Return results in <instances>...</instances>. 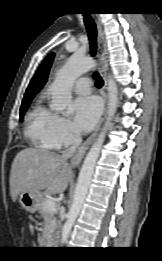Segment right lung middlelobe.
Listing matches in <instances>:
<instances>
[{
  "instance_id": "right-lung-middle-lobe-1",
  "label": "right lung middle lobe",
  "mask_w": 162,
  "mask_h": 261,
  "mask_svg": "<svg viewBox=\"0 0 162 261\" xmlns=\"http://www.w3.org/2000/svg\"><path fill=\"white\" fill-rule=\"evenodd\" d=\"M31 100L22 102L21 109H20V120H22L26 110L28 109L30 105Z\"/></svg>"
}]
</instances>
